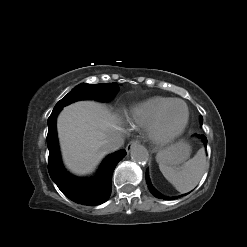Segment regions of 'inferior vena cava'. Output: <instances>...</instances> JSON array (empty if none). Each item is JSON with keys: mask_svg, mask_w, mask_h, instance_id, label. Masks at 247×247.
Listing matches in <instances>:
<instances>
[{"mask_svg": "<svg viewBox=\"0 0 247 247\" xmlns=\"http://www.w3.org/2000/svg\"><path fill=\"white\" fill-rule=\"evenodd\" d=\"M124 144V139L121 136H115L111 138L107 144L105 145V148L108 152H114Z\"/></svg>", "mask_w": 247, "mask_h": 247, "instance_id": "inferior-vena-cava-1", "label": "inferior vena cava"}]
</instances>
